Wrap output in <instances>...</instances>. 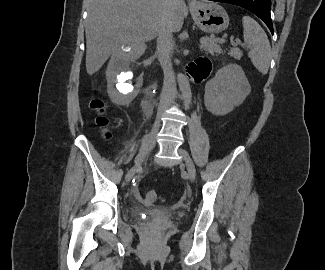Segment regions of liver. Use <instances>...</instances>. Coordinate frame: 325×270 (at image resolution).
I'll return each mask as SVG.
<instances>
[{"label": "liver", "mask_w": 325, "mask_h": 270, "mask_svg": "<svg viewBox=\"0 0 325 270\" xmlns=\"http://www.w3.org/2000/svg\"><path fill=\"white\" fill-rule=\"evenodd\" d=\"M86 34V71L96 73L121 45L138 54L145 42L157 36L160 21L166 17L172 32L182 29L188 8L176 0L169 9L163 0H89Z\"/></svg>", "instance_id": "liver-1"}]
</instances>
